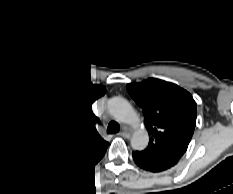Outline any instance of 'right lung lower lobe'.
Segmentation results:
<instances>
[{"mask_svg":"<svg viewBox=\"0 0 233 194\" xmlns=\"http://www.w3.org/2000/svg\"><path fill=\"white\" fill-rule=\"evenodd\" d=\"M102 157H103V156H102ZM102 157H101V158H102ZM101 158H100V159H101ZM59 160H60V159H59ZM98 161H99V160H98ZM98 161H97V162H98ZM97 162H96V163H97ZM96 163H95V164H96ZM93 165H94V164H93Z\"/></svg>","mask_w":233,"mask_h":194,"instance_id":"right-lung-lower-lobe-1","label":"right lung lower lobe"}]
</instances>
